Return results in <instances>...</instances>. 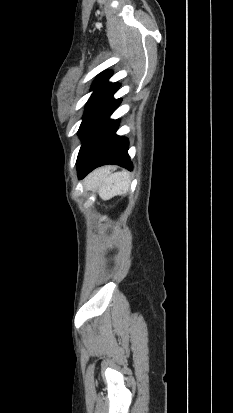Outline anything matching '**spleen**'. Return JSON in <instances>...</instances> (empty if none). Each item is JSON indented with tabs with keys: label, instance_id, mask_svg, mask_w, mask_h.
<instances>
[{
	"label": "spleen",
	"instance_id": "1",
	"mask_svg": "<svg viewBox=\"0 0 233 413\" xmlns=\"http://www.w3.org/2000/svg\"><path fill=\"white\" fill-rule=\"evenodd\" d=\"M98 194L103 200H109L116 195L129 191L130 175L127 171L115 172L109 175L99 173L94 179Z\"/></svg>",
	"mask_w": 233,
	"mask_h": 413
}]
</instances>
